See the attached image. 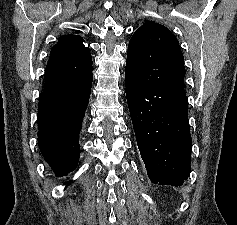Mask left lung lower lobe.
<instances>
[{
  "label": "left lung lower lobe",
  "mask_w": 237,
  "mask_h": 225,
  "mask_svg": "<svg viewBox=\"0 0 237 225\" xmlns=\"http://www.w3.org/2000/svg\"><path fill=\"white\" fill-rule=\"evenodd\" d=\"M126 97L149 179L180 186L190 174L192 140L185 90L158 89L125 72Z\"/></svg>",
  "instance_id": "0a47b994"
}]
</instances>
